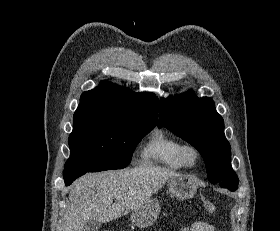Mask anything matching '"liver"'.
I'll use <instances>...</instances> for the list:
<instances>
[{"label": "liver", "mask_w": 280, "mask_h": 231, "mask_svg": "<svg viewBox=\"0 0 280 231\" xmlns=\"http://www.w3.org/2000/svg\"><path fill=\"white\" fill-rule=\"evenodd\" d=\"M180 175L159 165L86 173L70 185L62 231H83L88 221H111L141 207L164 183ZM113 199H115L113 203Z\"/></svg>", "instance_id": "liver-1"}]
</instances>
